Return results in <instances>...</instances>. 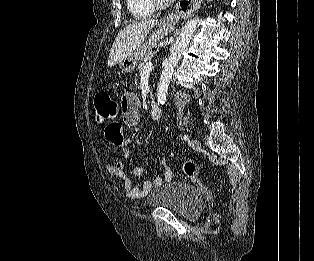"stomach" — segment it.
<instances>
[{
    "mask_svg": "<svg viewBox=\"0 0 314 261\" xmlns=\"http://www.w3.org/2000/svg\"><path fill=\"white\" fill-rule=\"evenodd\" d=\"M165 31V26L163 24H160V29L157 32L153 33L151 37L147 40L146 45L148 46V48H151L153 44L159 41V39L164 35ZM142 46L138 47L130 56H128L121 62L120 69L123 72L129 73L135 69L137 63L144 54V52L142 51Z\"/></svg>",
    "mask_w": 314,
    "mask_h": 261,
    "instance_id": "stomach-1",
    "label": "stomach"
}]
</instances>
